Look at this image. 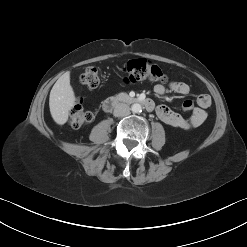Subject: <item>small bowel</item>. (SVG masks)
Here are the masks:
<instances>
[{
    "label": "small bowel",
    "instance_id": "1",
    "mask_svg": "<svg viewBox=\"0 0 247 247\" xmlns=\"http://www.w3.org/2000/svg\"><path fill=\"white\" fill-rule=\"evenodd\" d=\"M190 86L185 82H171L168 86L156 84L154 92L157 95H163L166 92H175L181 95L190 93ZM197 105L189 118H184L165 105H158L155 113L158 118L167 125L181 129H191L199 127L207 118L205 109L211 105V97L208 94H202L197 97Z\"/></svg>",
    "mask_w": 247,
    "mask_h": 247
}]
</instances>
